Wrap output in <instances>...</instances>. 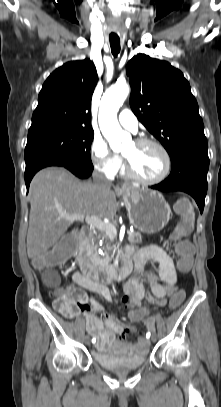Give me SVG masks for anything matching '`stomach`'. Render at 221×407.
Segmentation results:
<instances>
[{
  "instance_id": "1",
  "label": "stomach",
  "mask_w": 221,
  "mask_h": 407,
  "mask_svg": "<svg viewBox=\"0 0 221 407\" xmlns=\"http://www.w3.org/2000/svg\"><path fill=\"white\" fill-rule=\"evenodd\" d=\"M130 223L139 231L154 234L169 222L171 209L160 192L130 189L123 192Z\"/></svg>"
}]
</instances>
